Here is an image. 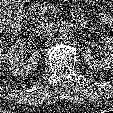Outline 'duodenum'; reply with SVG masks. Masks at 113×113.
Masks as SVG:
<instances>
[{"label": "duodenum", "mask_w": 113, "mask_h": 113, "mask_svg": "<svg viewBox=\"0 0 113 113\" xmlns=\"http://www.w3.org/2000/svg\"><path fill=\"white\" fill-rule=\"evenodd\" d=\"M75 20L79 24H85L86 23V17L83 16V15H77V16H75ZM26 24H27V21L26 20H23L22 21V25L23 26H26Z\"/></svg>", "instance_id": "duodenum-1"}]
</instances>
